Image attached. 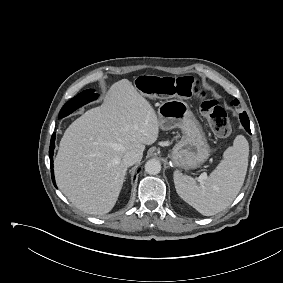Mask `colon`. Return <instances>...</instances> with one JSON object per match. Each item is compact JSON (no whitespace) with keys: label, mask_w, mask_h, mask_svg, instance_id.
Masks as SVG:
<instances>
[{"label":"colon","mask_w":283,"mask_h":283,"mask_svg":"<svg viewBox=\"0 0 283 283\" xmlns=\"http://www.w3.org/2000/svg\"><path fill=\"white\" fill-rule=\"evenodd\" d=\"M136 87L146 96L154 98L171 96L200 98V110L207 117L212 131L220 137H226L231 132L226 110L216 99L206 97V92L198 79L193 77L174 79L170 77L141 76L136 81Z\"/></svg>","instance_id":"colon-1"}]
</instances>
